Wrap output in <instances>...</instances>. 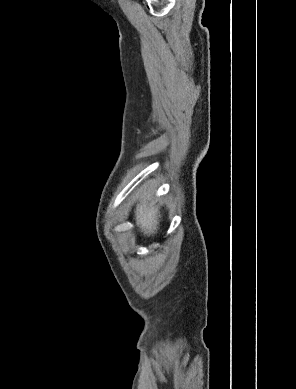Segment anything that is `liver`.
<instances>
[{
    "instance_id": "1",
    "label": "liver",
    "mask_w": 296,
    "mask_h": 389,
    "mask_svg": "<svg viewBox=\"0 0 296 389\" xmlns=\"http://www.w3.org/2000/svg\"><path fill=\"white\" fill-rule=\"evenodd\" d=\"M151 194H145L143 199H140L135 210V220L141 232L147 235L154 234L159 225V210L151 202Z\"/></svg>"
}]
</instances>
